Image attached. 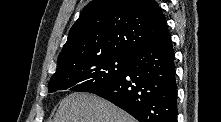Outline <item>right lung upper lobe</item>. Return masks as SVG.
Here are the masks:
<instances>
[{
    "instance_id": "1",
    "label": "right lung upper lobe",
    "mask_w": 221,
    "mask_h": 122,
    "mask_svg": "<svg viewBox=\"0 0 221 122\" xmlns=\"http://www.w3.org/2000/svg\"><path fill=\"white\" fill-rule=\"evenodd\" d=\"M166 28L154 0H93L71 27L54 75L97 57H132Z\"/></svg>"
}]
</instances>
